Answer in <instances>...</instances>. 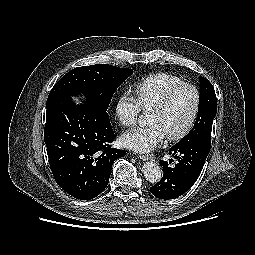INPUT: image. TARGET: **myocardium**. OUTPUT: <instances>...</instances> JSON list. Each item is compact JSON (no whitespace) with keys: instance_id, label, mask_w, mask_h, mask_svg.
I'll list each match as a JSON object with an SVG mask.
<instances>
[{"instance_id":"myocardium-1","label":"myocardium","mask_w":255,"mask_h":255,"mask_svg":"<svg viewBox=\"0 0 255 255\" xmlns=\"http://www.w3.org/2000/svg\"><path fill=\"white\" fill-rule=\"evenodd\" d=\"M183 88H189L191 90H193L194 94H195V104H194V109L192 112V115L188 121V123L186 124V126L178 133L176 134H172V135H167V139L170 142H177L182 140L183 138H185L193 129L197 118L199 116V112H200V106H201V93L200 90L198 89L197 86H195L194 84L191 83H187V82H182L180 84H177L173 87H171L170 89H168L163 95L162 97L158 100V102L156 104H154L151 109L149 111H159V110H163L168 103L170 102L171 98L174 96V94L183 89Z\"/></svg>"}]
</instances>
